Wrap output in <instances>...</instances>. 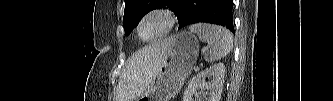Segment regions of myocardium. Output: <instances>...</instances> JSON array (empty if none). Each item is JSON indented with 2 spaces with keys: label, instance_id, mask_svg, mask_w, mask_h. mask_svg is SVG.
<instances>
[{
  "label": "myocardium",
  "instance_id": "1",
  "mask_svg": "<svg viewBox=\"0 0 333 101\" xmlns=\"http://www.w3.org/2000/svg\"><path fill=\"white\" fill-rule=\"evenodd\" d=\"M151 17H160V18H162L165 21V26L162 29V31H160L156 35H154L150 38H144L141 35V27H142L143 23ZM176 21H177L176 15L172 10H170L168 8L152 9V10L147 11L146 13H144L140 17V19L137 23V26H136V32H137L138 37L141 40H143L145 42L154 41V40H157L159 38L164 37L169 32H171L172 29L174 28L175 24H176Z\"/></svg>",
  "mask_w": 333,
  "mask_h": 101
}]
</instances>
